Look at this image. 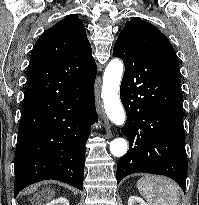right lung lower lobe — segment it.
<instances>
[{
	"label": "right lung lower lobe",
	"mask_w": 199,
	"mask_h": 205,
	"mask_svg": "<svg viewBox=\"0 0 199 205\" xmlns=\"http://www.w3.org/2000/svg\"><path fill=\"white\" fill-rule=\"evenodd\" d=\"M95 77L75 82L58 99L21 116L14 159L15 192L42 181L58 180L83 189L85 144L97 120ZM42 83L26 84L25 93Z\"/></svg>",
	"instance_id": "right-lung-lower-lobe-1"
}]
</instances>
